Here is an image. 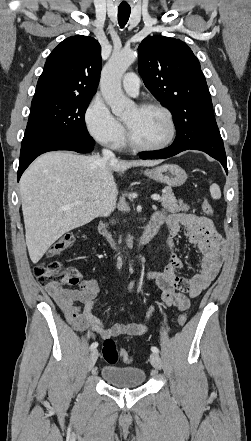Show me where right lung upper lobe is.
Here are the masks:
<instances>
[{"instance_id": "right-lung-upper-lobe-1", "label": "right lung upper lobe", "mask_w": 251, "mask_h": 441, "mask_svg": "<svg viewBox=\"0 0 251 441\" xmlns=\"http://www.w3.org/2000/svg\"><path fill=\"white\" fill-rule=\"evenodd\" d=\"M101 72V47L92 37L77 35L62 41L48 56L33 100L53 97H93Z\"/></svg>"}]
</instances>
